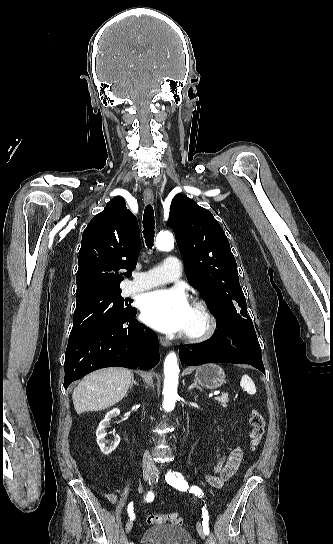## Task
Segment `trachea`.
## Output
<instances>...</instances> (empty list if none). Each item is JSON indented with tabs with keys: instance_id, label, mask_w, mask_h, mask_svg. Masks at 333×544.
<instances>
[{
	"instance_id": "1",
	"label": "trachea",
	"mask_w": 333,
	"mask_h": 544,
	"mask_svg": "<svg viewBox=\"0 0 333 544\" xmlns=\"http://www.w3.org/2000/svg\"><path fill=\"white\" fill-rule=\"evenodd\" d=\"M155 220L153 207L148 204L143 215V234L148 248H152L155 234Z\"/></svg>"
}]
</instances>
